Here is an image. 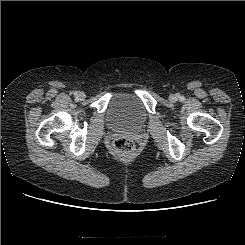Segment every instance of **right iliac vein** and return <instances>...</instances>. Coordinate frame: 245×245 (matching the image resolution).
I'll return each instance as SVG.
<instances>
[{
	"instance_id": "obj_1",
	"label": "right iliac vein",
	"mask_w": 245,
	"mask_h": 245,
	"mask_svg": "<svg viewBox=\"0 0 245 245\" xmlns=\"http://www.w3.org/2000/svg\"><path fill=\"white\" fill-rule=\"evenodd\" d=\"M77 96H78V98H79L80 100H83V99L85 98L86 95H85L84 92H79Z\"/></svg>"
}]
</instances>
